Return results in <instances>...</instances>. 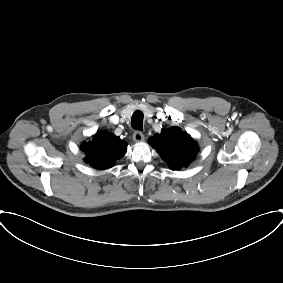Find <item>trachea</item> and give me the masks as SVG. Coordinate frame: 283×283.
<instances>
[{
    "instance_id": "1",
    "label": "trachea",
    "mask_w": 283,
    "mask_h": 283,
    "mask_svg": "<svg viewBox=\"0 0 283 283\" xmlns=\"http://www.w3.org/2000/svg\"><path fill=\"white\" fill-rule=\"evenodd\" d=\"M143 113L141 111H135L132 115L131 126L134 129L142 130Z\"/></svg>"
}]
</instances>
